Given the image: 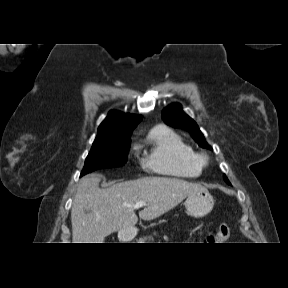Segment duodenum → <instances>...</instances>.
Instances as JSON below:
<instances>
[{"label": "duodenum", "mask_w": 288, "mask_h": 288, "mask_svg": "<svg viewBox=\"0 0 288 288\" xmlns=\"http://www.w3.org/2000/svg\"><path fill=\"white\" fill-rule=\"evenodd\" d=\"M120 239L122 241H129L132 239V234L130 232H127V231H122L120 233Z\"/></svg>", "instance_id": "410a0bca"}]
</instances>
